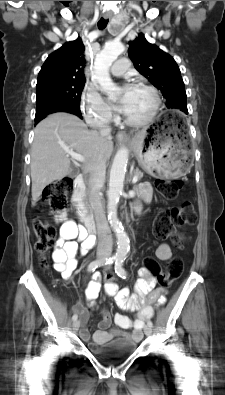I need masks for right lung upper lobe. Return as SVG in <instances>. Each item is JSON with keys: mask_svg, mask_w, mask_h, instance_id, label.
Masks as SVG:
<instances>
[{"mask_svg": "<svg viewBox=\"0 0 225 395\" xmlns=\"http://www.w3.org/2000/svg\"><path fill=\"white\" fill-rule=\"evenodd\" d=\"M84 45L78 37L65 43L48 56L43 64L37 80V85L55 81L85 80Z\"/></svg>", "mask_w": 225, "mask_h": 395, "instance_id": "obj_1", "label": "right lung upper lobe"}]
</instances>
